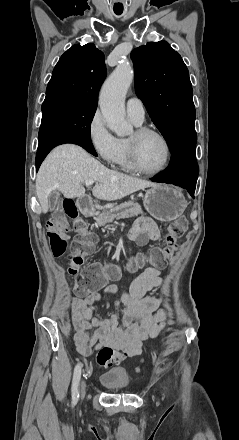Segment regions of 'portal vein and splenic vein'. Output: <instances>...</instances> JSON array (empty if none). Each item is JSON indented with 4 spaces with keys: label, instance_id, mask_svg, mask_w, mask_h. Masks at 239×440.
<instances>
[{
    "label": "portal vein and splenic vein",
    "instance_id": "portal-vein-and-splenic-vein-1",
    "mask_svg": "<svg viewBox=\"0 0 239 440\" xmlns=\"http://www.w3.org/2000/svg\"><path fill=\"white\" fill-rule=\"evenodd\" d=\"M94 182L93 180H86L85 186H93Z\"/></svg>",
    "mask_w": 239,
    "mask_h": 440
}]
</instances>
